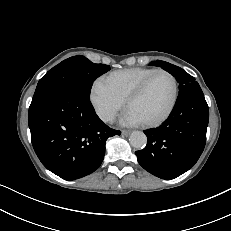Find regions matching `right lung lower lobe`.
I'll return each instance as SVG.
<instances>
[{"label": "right lung lower lobe", "mask_w": 231, "mask_h": 231, "mask_svg": "<svg viewBox=\"0 0 231 231\" xmlns=\"http://www.w3.org/2000/svg\"><path fill=\"white\" fill-rule=\"evenodd\" d=\"M32 145L42 164L65 180L94 172L109 137L121 132L96 115L90 97L59 88L29 107Z\"/></svg>", "instance_id": "1"}]
</instances>
